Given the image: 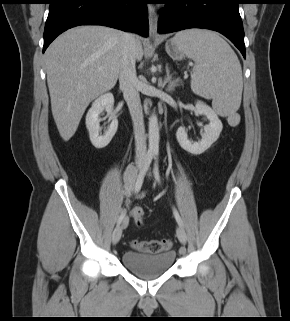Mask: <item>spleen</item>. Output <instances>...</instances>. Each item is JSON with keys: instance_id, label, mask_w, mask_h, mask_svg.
<instances>
[{"instance_id": "obj_1", "label": "spleen", "mask_w": 290, "mask_h": 321, "mask_svg": "<svg viewBox=\"0 0 290 321\" xmlns=\"http://www.w3.org/2000/svg\"><path fill=\"white\" fill-rule=\"evenodd\" d=\"M173 40L193 59L192 91L212 99L221 116L235 113L241 104L243 79L237 55L218 34L200 29L176 33Z\"/></svg>"}]
</instances>
